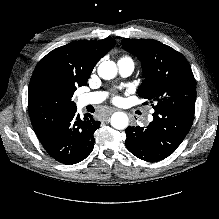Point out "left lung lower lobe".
Returning a JSON list of instances; mask_svg holds the SVG:
<instances>
[{
	"mask_svg": "<svg viewBox=\"0 0 219 219\" xmlns=\"http://www.w3.org/2000/svg\"><path fill=\"white\" fill-rule=\"evenodd\" d=\"M195 105L175 109L155 110L147 127L126 128L125 145L136 157L149 162L171 155L189 132L194 119Z\"/></svg>",
	"mask_w": 219,
	"mask_h": 219,
	"instance_id": "1",
	"label": "left lung lower lobe"
}]
</instances>
